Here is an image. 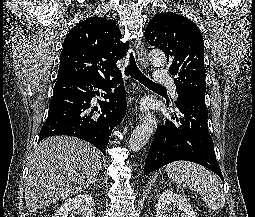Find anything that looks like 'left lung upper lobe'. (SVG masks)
<instances>
[{"instance_id":"1","label":"left lung upper lobe","mask_w":255,"mask_h":217,"mask_svg":"<svg viewBox=\"0 0 255 217\" xmlns=\"http://www.w3.org/2000/svg\"><path fill=\"white\" fill-rule=\"evenodd\" d=\"M145 39L167 55L177 94L205 100L203 36L196 24L173 12L161 13L150 20Z\"/></svg>"}]
</instances>
